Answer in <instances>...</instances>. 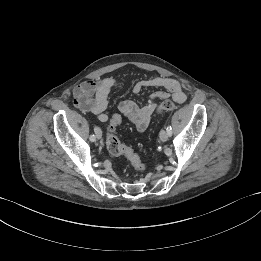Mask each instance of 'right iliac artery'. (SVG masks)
<instances>
[{
	"label": "right iliac artery",
	"mask_w": 261,
	"mask_h": 261,
	"mask_svg": "<svg viewBox=\"0 0 261 261\" xmlns=\"http://www.w3.org/2000/svg\"><path fill=\"white\" fill-rule=\"evenodd\" d=\"M97 128H98V127H95L94 131H96ZM90 141H92V142L95 141V136H94V135H91V136H90Z\"/></svg>",
	"instance_id": "obj_1"
}]
</instances>
